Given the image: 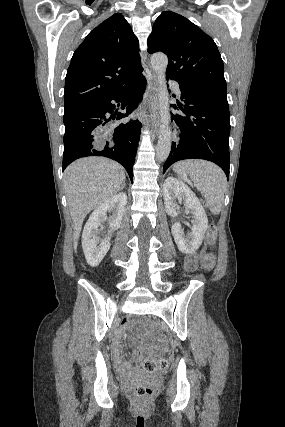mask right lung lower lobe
I'll use <instances>...</instances> for the list:
<instances>
[{
  "instance_id": "98d812e1",
  "label": "right lung lower lobe",
  "mask_w": 285,
  "mask_h": 427,
  "mask_svg": "<svg viewBox=\"0 0 285 427\" xmlns=\"http://www.w3.org/2000/svg\"><path fill=\"white\" fill-rule=\"evenodd\" d=\"M145 78L141 75L121 91L98 99L78 103L64 112L63 170L74 160L88 156H104L116 160L127 170L133 180L141 123L129 121L119 124L113 131L107 128L106 113H112L116 102L121 101L126 113L115 114L112 119L128 116L142 99Z\"/></svg>"
}]
</instances>
